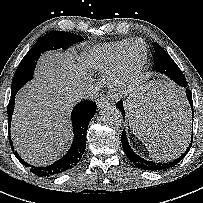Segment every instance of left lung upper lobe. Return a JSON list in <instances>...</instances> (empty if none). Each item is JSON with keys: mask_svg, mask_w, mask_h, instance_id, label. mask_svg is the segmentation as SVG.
I'll list each match as a JSON object with an SVG mask.
<instances>
[{"mask_svg": "<svg viewBox=\"0 0 203 203\" xmlns=\"http://www.w3.org/2000/svg\"><path fill=\"white\" fill-rule=\"evenodd\" d=\"M155 53H154V67L152 69L157 72L163 73L160 68V60L162 57L169 56L158 43H154Z\"/></svg>", "mask_w": 203, "mask_h": 203, "instance_id": "obj_1", "label": "left lung upper lobe"}]
</instances>
